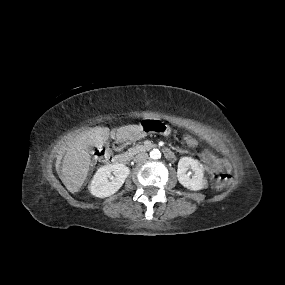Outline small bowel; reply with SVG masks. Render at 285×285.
Masks as SVG:
<instances>
[{"label": "small bowel", "instance_id": "obj_1", "mask_svg": "<svg viewBox=\"0 0 285 285\" xmlns=\"http://www.w3.org/2000/svg\"><path fill=\"white\" fill-rule=\"evenodd\" d=\"M201 157L206 172L211 176L229 170V164L225 160L215 156L211 151L205 150Z\"/></svg>", "mask_w": 285, "mask_h": 285}]
</instances>
